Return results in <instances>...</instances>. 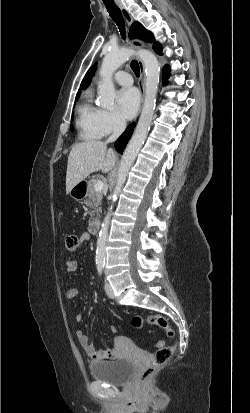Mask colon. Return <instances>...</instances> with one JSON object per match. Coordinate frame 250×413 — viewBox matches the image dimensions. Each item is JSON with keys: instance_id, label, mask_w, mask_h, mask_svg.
I'll use <instances>...</instances> for the list:
<instances>
[{"instance_id": "obj_1", "label": "colon", "mask_w": 250, "mask_h": 413, "mask_svg": "<svg viewBox=\"0 0 250 413\" xmlns=\"http://www.w3.org/2000/svg\"><path fill=\"white\" fill-rule=\"evenodd\" d=\"M80 246V239L75 234H68L64 241L65 250L68 252H75ZM132 325L135 328H143L147 325H155L163 328L166 331L168 337H174V331L169 325L168 321L161 315H149L141 316L136 315L132 318ZM110 331H113L115 338H120V333L118 329H115V326H110ZM156 353L153 360L143 368L140 373V380L146 382L149 380L152 375L157 371V369L165 364L173 355L176 346L175 345H166L164 341H158L156 343Z\"/></svg>"}]
</instances>
